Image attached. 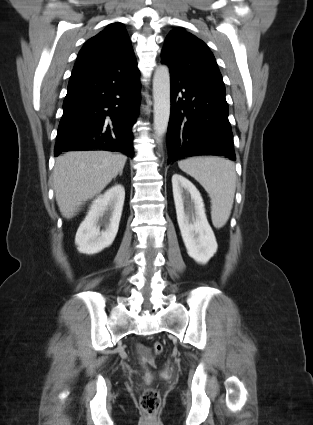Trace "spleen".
I'll use <instances>...</instances> for the list:
<instances>
[{
  "label": "spleen",
  "instance_id": "obj_1",
  "mask_svg": "<svg viewBox=\"0 0 313 425\" xmlns=\"http://www.w3.org/2000/svg\"><path fill=\"white\" fill-rule=\"evenodd\" d=\"M179 168L197 180L211 198V219L223 227L233 207L236 172L233 162L221 157H192L178 162Z\"/></svg>",
  "mask_w": 313,
  "mask_h": 425
}]
</instances>
